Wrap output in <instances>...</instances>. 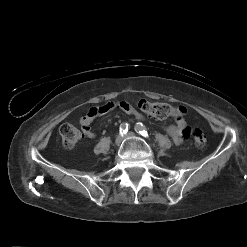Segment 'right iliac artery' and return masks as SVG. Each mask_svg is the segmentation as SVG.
Segmentation results:
<instances>
[{
	"mask_svg": "<svg viewBox=\"0 0 247 247\" xmlns=\"http://www.w3.org/2000/svg\"><path fill=\"white\" fill-rule=\"evenodd\" d=\"M120 134L123 136V134H126L128 131V124L122 123L119 127Z\"/></svg>",
	"mask_w": 247,
	"mask_h": 247,
	"instance_id": "obj_1",
	"label": "right iliac artery"
}]
</instances>
